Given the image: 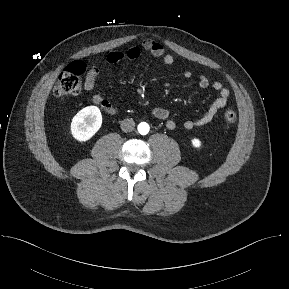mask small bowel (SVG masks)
Masks as SVG:
<instances>
[{
	"mask_svg": "<svg viewBox=\"0 0 289 289\" xmlns=\"http://www.w3.org/2000/svg\"><path fill=\"white\" fill-rule=\"evenodd\" d=\"M142 50L149 52L156 58L162 59L166 65H172L175 61L171 54L166 53L165 48L161 43L152 39L144 40L142 47L132 46L126 51H112L107 55L106 60L109 64H116L125 59L135 60L139 58ZM99 74L100 69L97 66H93L88 70L84 80L85 90L92 91L94 89L96 79L98 78ZM183 76L188 79L192 76V73L189 70H185L183 72ZM197 83L201 88L211 86L218 93V97L211 103L208 110L202 116L196 119L186 120L184 122V127L186 129L201 127L210 123L216 116L217 112L227 105L230 95L229 90L224 87L221 82L214 81L211 83L209 78L204 74L198 76ZM92 102L100 106L109 114L117 113V108L109 100L99 94L92 95ZM151 114L157 119L166 121V127L169 130H174L176 128V123L174 120L170 119V113L167 109L163 107H153L151 109Z\"/></svg>",
	"mask_w": 289,
	"mask_h": 289,
	"instance_id": "1",
	"label": "small bowel"
}]
</instances>
